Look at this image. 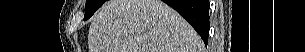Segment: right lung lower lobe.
I'll list each match as a JSON object with an SVG mask.
<instances>
[{
	"label": "right lung lower lobe",
	"instance_id": "obj_1",
	"mask_svg": "<svg viewBox=\"0 0 305 52\" xmlns=\"http://www.w3.org/2000/svg\"><path fill=\"white\" fill-rule=\"evenodd\" d=\"M174 8L185 18L208 44L209 35V9L208 0H162Z\"/></svg>",
	"mask_w": 305,
	"mask_h": 52
}]
</instances>
